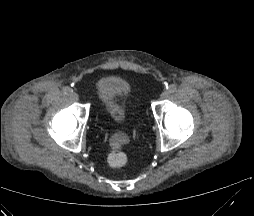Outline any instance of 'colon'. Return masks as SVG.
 Wrapping results in <instances>:
<instances>
[{
	"instance_id": "colon-1",
	"label": "colon",
	"mask_w": 254,
	"mask_h": 216,
	"mask_svg": "<svg viewBox=\"0 0 254 216\" xmlns=\"http://www.w3.org/2000/svg\"><path fill=\"white\" fill-rule=\"evenodd\" d=\"M127 157L119 140H114L107 158L112 167H121L126 163Z\"/></svg>"
}]
</instances>
